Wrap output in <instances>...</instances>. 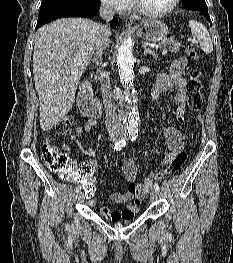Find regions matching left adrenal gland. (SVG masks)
<instances>
[{
	"instance_id": "left-adrenal-gland-1",
	"label": "left adrenal gland",
	"mask_w": 233,
	"mask_h": 263,
	"mask_svg": "<svg viewBox=\"0 0 233 263\" xmlns=\"http://www.w3.org/2000/svg\"><path fill=\"white\" fill-rule=\"evenodd\" d=\"M143 48H144V55H147V54H150V55H152L155 59L157 58V53L155 52V51H153V50H151V49H149L147 46H143Z\"/></svg>"
}]
</instances>
